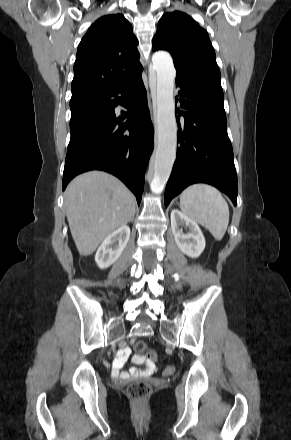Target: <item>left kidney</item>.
<instances>
[{"mask_svg": "<svg viewBox=\"0 0 291 440\" xmlns=\"http://www.w3.org/2000/svg\"><path fill=\"white\" fill-rule=\"evenodd\" d=\"M185 225L189 233H183L180 228ZM171 229L178 248L187 256L197 258L205 249V238L199 225L193 219L183 214L178 209L171 211Z\"/></svg>", "mask_w": 291, "mask_h": 440, "instance_id": "obj_1", "label": "left kidney"}]
</instances>
